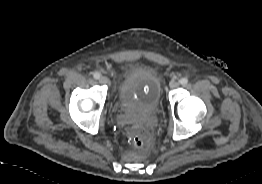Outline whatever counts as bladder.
Wrapping results in <instances>:
<instances>
[{
	"mask_svg": "<svg viewBox=\"0 0 262 184\" xmlns=\"http://www.w3.org/2000/svg\"><path fill=\"white\" fill-rule=\"evenodd\" d=\"M162 82L151 67H136L123 77L118 92L119 107L130 119L138 117L143 109L153 112L160 103Z\"/></svg>",
	"mask_w": 262,
	"mask_h": 184,
	"instance_id": "1",
	"label": "bladder"
}]
</instances>
